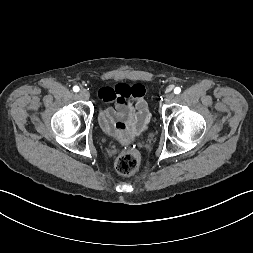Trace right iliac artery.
Returning <instances> with one entry per match:
<instances>
[{
  "label": "right iliac artery",
  "mask_w": 253,
  "mask_h": 253,
  "mask_svg": "<svg viewBox=\"0 0 253 253\" xmlns=\"http://www.w3.org/2000/svg\"><path fill=\"white\" fill-rule=\"evenodd\" d=\"M73 91H74V92H78V91H79V87H78V86H74V87H73Z\"/></svg>",
  "instance_id": "1"
}]
</instances>
